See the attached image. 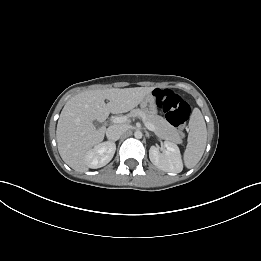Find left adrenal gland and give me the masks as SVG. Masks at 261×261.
<instances>
[{
    "label": "left adrenal gland",
    "instance_id": "a2214340",
    "mask_svg": "<svg viewBox=\"0 0 261 261\" xmlns=\"http://www.w3.org/2000/svg\"><path fill=\"white\" fill-rule=\"evenodd\" d=\"M146 135L149 136V133L146 131Z\"/></svg>",
    "mask_w": 261,
    "mask_h": 261
}]
</instances>
